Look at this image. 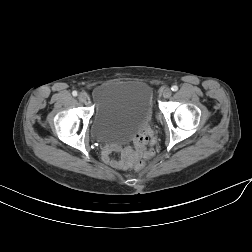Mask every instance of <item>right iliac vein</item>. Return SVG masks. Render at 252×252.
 <instances>
[{
  "label": "right iliac vein",
  "instance_id": "right-iliac-vein-1",
  "mask_svg": "<svg viewBox=\"0 0 252 252\" xmlns=\"http://www.w3.org/2000/svg\"><path fill=\"white\" fill-rule=\"evenodd\" d=\"M78 99L82 103H87L89 101V96L86 92H81L78 96Z\"/></svg>",
  "mask_w": 252,
  "mask_h": 252
}]
</instances>
